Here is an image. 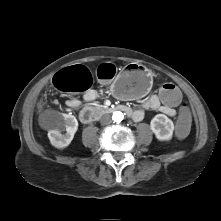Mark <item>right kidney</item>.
I'll list each match as a JSON object with an SVG mask.
<instances>
[{"mask_svg":"<svg viewBox=\"0 0 221 221\" xmlns=\"http://www.w3.org/2000/svg\"><path fill=\"white\" fill-rule=\"evenodd\" d=\"M77 129L75 116L60 113L55 117L53 128L48 131V138L54 147L63 149L71 143ZM62 130H66V133L62 134Z\"/></svg>","mask_w":221,"mask_h":221,"instance_id":"right-kidney-1","label":"right kidney"}]
</instances>
